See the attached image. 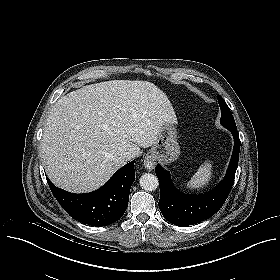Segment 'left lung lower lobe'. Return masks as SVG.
<instances>
[{
  "label": "left lung lower lobe",
  "mask_w": 280,
  "mask_h": 280,
  "mask_svg": "<svg viewBox=\"0 0 280 280\" xmlns=\"http://www.w3.org/2000/svg\"><path fill=\"white\" fill-rule=\"evenodd\" d=\"M234 138V148L224 179L210 192L187 195L178 191L168 171L160 165L155 167L160 185L159 208L162 215L176 226H188L207 220L224 204L234 183L238 166L240 139L237 129H228Z\"/></svg>",
  "instance_id": "obj_1"
}]
</instances>
